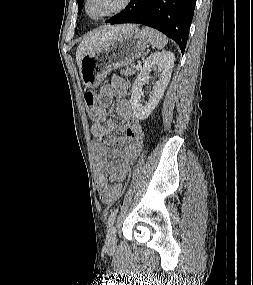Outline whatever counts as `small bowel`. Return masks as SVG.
<instances>
[{"label": "small bowel", "instance_id": "c3829d8e", "mask_svg": "<svg viewBox=\"0 0 253 285\" xmlns=\"http://www.w3.org/2000/svg\"><path fill=\"white\" fill-rule=\"evenodd\" d=\"M128 91V81L115 75L102 87L95 105L89 109L94 120L91 133L95 137L97 153V191L106 204L114 203L120 196L110 183L125 178L142 147V127L132 111ZM115 97L119 99L116 113L120 123L107 119V109L113 106ZM116 131L123 132V135L116 136Z\"/></svg>", "mask_w": 253, "mask_h": 285}]
</instances>
